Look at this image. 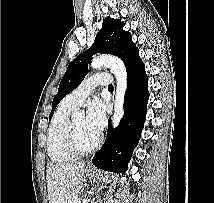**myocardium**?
<instances>
[{
	"label": "myocardium",
	"instance_id": "myocardium-1",
	"mask_svg": "<svg viewBox=\"0 0 214 203\" xmlns=\"http://www.w3.org/2000/svg\"><path fill=\"white\" fill-rule=\"evenodd\" d=\"M101 140H102V137L101 135L98 134L92 146L86 149L81 148L78 144L75 120L71 119L67 129L66 140H65L66 149L71 155L75 157L88 155L94 152L99 147Z\"/></svg>",
	"mask_w": 214,
	"mask_h": 203
}]
</instances>
